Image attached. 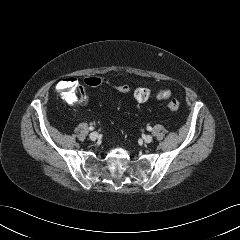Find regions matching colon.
Listing matches in <instances>:
<instances>
[{
  "instance_id": "obj_1",
  "label": "colon",
  "mask_w": 240,
  "mask_h": 240,
  "mask_svg": "<svg viewBox=\"0 0 240 240\" xmlns=\"http://www.w3.org/2000/svg\"><path fill=\"white\" fill-rule=\"evenodd\" d=\"M84 84L88 87H99L103 84H109L108 79L103 77L91 76L84 79ZM75 80L72 78L65 79L61 82L60 88L66 94H71L75 90ZM114 87L122 93H128L130 87L126 84H117ZM80 97H84V93L80 91ZM134 97L137 102L143 103L149 100H167V108L171 111H176L180 107V101L171 97L167 90L151 91L146 87H139L134 91Z\"/></svg>"
}]
</instances>
